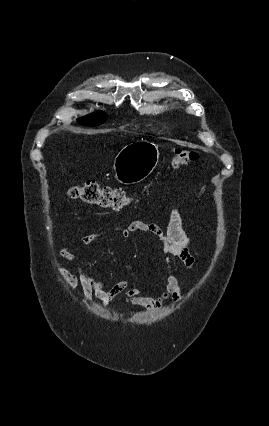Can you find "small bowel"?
<instances>
[{
    "label": "small bowel",
    "mask_w": 269,
    "mask_h": 426,
    "mask_svg": "<svg viewBox=\"0 0 269 426\" xmlns=\"http://www.w3.org/2000/svg\"><path fill=\"white\" fill-rule=\"evenodd\" d=\"M115 231L123 239H129L134 233H142L155 237L162 242L164 265L167 270L164 291L158 296L147 295L146 289L128 288L130 283L128 278L122 279L110 289H106L105 280L93 277L83 267L80 258L64 246L60 250L61 256L66 260L76 263L75 273L56 264V270L59 276L66 282L67 287L74 289L80 286L83 290V300L85 302L95 297L105 308L117 297L127 299L131 305L148 311L160 309L168 300H172L175 303L181 302L183 300L184 285L173 274L172 257L178 258L188 270L194 268L195 258L189 251L190 239L182 229L179 211L173 209L170 212L165 228L152 222L136 220L129 223L126 227L115 228ZM103 235L104 233L89 234L82 239V244L87 247Z\"/></svg>",
    "instance_id": "obj_1"
}]
</instances>
